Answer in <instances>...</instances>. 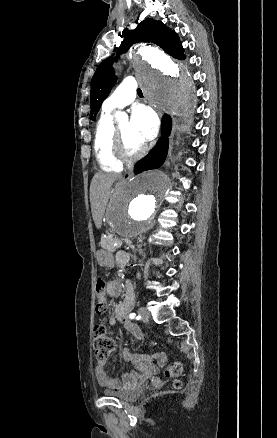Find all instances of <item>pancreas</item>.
<instances>
[{"label":"pancreas","instance_id":"obj_1","mask_svg":"<svg viewBox=\"0 0 277 438\" xmlns=\"http://www.w3.org/2000/svg\"><path fill=\"white\" fill-rule=\"evenodd\" d=\"M100 241L102 248H106L109 253L115 248H123L125 244L123 239H117L114 231H104Z\"/></svg>","mask_w":277,"mask_h":438}]
</instances>
